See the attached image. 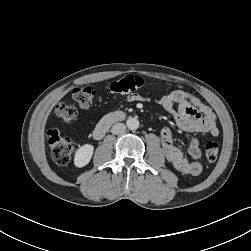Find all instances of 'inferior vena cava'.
<instances>
[{"label":"inferior vena cava","instance_id":"1","mask_svg":"<svg viewBox=\"0 0 251 251\" xmlns=\"http://www.w3.org/2000/svg\"><path fill=\"white\" fill-rule=\"evenodd\" d=\"M126 130V125L123 123H116L112 126L111 132L112 134L119 135L124 133Z\"/></svg>","mask_w":251,"mask_h":251}]
</instances>
